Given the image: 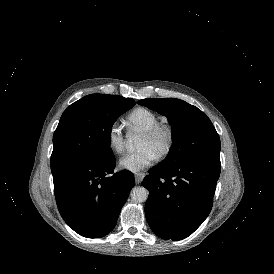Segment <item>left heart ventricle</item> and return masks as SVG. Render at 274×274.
Listing matches in <instances>:
<instances>
[{
    "instance_id": "left-heart-ventricle-1",
    "label": "left heart ventricle",
    "mask_w": 274,
    "mask_h": 274,
    "mask_svg": "<svg viewBox=\"0 0 274 274\" xmlns=\"http://www.w3.org/2000/svg\"><path fill=\"white\" fill-rule=\"evenodd\" d=\"M165 145V138L163 136H159L156 139H149L146 136H142L138 145V148L147 147L151 149L156 155L159 150Z\"/></svg>"
}]
</instances>
